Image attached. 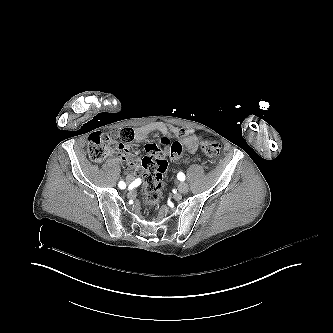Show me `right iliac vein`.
Masks as SVG:
<instances>
[{
    "label": "right iliac vein",
    "instance_id": "63e3f726",
    "mask_svg": "<svg viewBox=\"0 0 333 333\" xmlns=\"http://www.w3.org/2000/svg\"><path fill=\"white\" fill-rule=\"evenodd\" d=\"M134 179H135V178H134L133 175H128V176L126 177V181H127L128 184H130L131 182H133Z\"/></svg>",
    "mask_w": 333,
    "mask_h": 333
}]
</instances>
